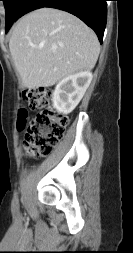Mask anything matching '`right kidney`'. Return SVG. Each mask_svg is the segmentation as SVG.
Segmentation results:
<instances>
[{"instance_id": "obj_1", "label": "right kidney", "mask_w": 133, "mask_h": 253, "mask_svg": "<svg viewBox=\"0 0 133 253\" xmlns=\"http://www.w3.org/2000/svg\"><path fill=\"white\" fill-rule=\"evenodd\" d=\"M92 78L90 71H82L62 79L52 95L54 108L62 114L71 113L82 99Z\"/></svg>"}]
</instances>
